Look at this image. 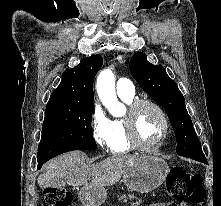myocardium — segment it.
<instances>
[{
	"label": "myocardium",
	"instance_id": "f54148a6",
	"mask_svg": "<svg viewBox=\"0 0 221 206\" xmlns=\"http://www.w3.org/2000/svg\"><path fill=\"white\" fill-rule=\"evenodd\" d=\"M143 106H149L153 108L159 114L163 122L164 129H163L162 137L160 141L154 146L144 145L140 141V138L138 135L137 124H136V114L138 110ZM124 122H125L127 136H128L130 144L132 145L133 149H136L142 152H154V151L159 150L166 142L168 135H169V131H170V124H169V120H168L166 113L164 112V110L161 108L159 104L149 99L134 100L129 105L127 115L124 118Z\"/></svg>",
	"mask_w": 221,
	"mask_h": 206
}]
</instances>
